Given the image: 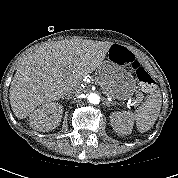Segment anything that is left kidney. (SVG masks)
Instances as JSON below:
<instances>
[{
	"label": "left kidney",
	"mask_w": 178,
	"mask_h": 178,
	"mask_svg": "<svg viewBox=\"0 0 178 178\" xmlns=\"http://www.w3.org/2000/svg\"><path fill=\"white\" fill-rule=\"evenodd\" d=\"M110 122L118 134L127 135L132 132L133 121L129 112H113L110 115Z\"/></svg>",
	"instance_id": "obj_1"
}]
</instances>
